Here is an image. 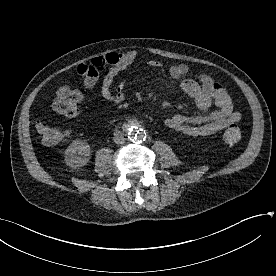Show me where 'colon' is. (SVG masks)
Listing matches in <instances>:
<instances>
[{
  "mask_svg": "<svg viewBox=\"0 0 276 276\" xmlns=\"http://www.w3.org/2000/svg\"><path fill=\"white\" fill-rule=\"evenodd\" d=\"M81 94L79 91L70 87H62L58 90L53 101V109L59 115L65 117H74L79 112V103ZM37 131L43 143L54 145L62 141L65 137L63 131L58 130L43 121H37ZM223 140L229 145H235L242 138L241 130L235 124L229 125L222 133Z\"/></svg>",
  "mask_w": 276,
  "mask_h": 276,
  "instance_id": "obj_1",
  "label": "colon"
}]
</instances>
